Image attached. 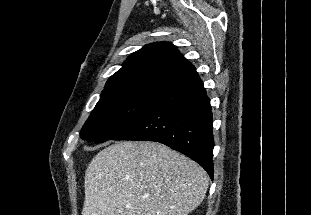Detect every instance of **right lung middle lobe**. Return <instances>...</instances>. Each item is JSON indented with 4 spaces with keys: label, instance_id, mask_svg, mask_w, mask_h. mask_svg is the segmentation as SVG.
I'll return each instance as SVG.
<instances>
[{
    "label": "right lung middle lobe",
    "instance_id": "right-lung-middle-lobe-1",
    "mask_svg": "<svg viewBox=\"0 0 311 215\" xmlns=\"http://www.w3.org/2000/svg\"><path fill=\"white\" fill-rule=\"evenodd\" d=\"M169 86L129 84L103 90L80 132L81 139L105 142L123 134L158 103Z\"/></svg>",
    "mask_w": 311,
    "mask_h": 215
}]
</instances>
